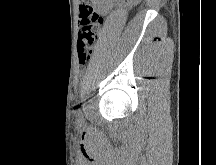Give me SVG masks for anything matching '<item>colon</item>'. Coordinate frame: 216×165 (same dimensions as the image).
<instances>
[{"mask_svg": "<svg viewBox=\"0 0 216 165\" xmlns=\"http://www.w3.org/2000/svg\"><path fill=\"white\" fill-rule=\"evenodd\" d=\"M102 23L103 18L94 10L82 11L78 39V57L81 64H85L90 60L95 43L99 38Z\"/></svg>", "mask_w": 216, "mask_h": 165, "instance_id": "obj_1", "label": "colon"}]
</instances>
